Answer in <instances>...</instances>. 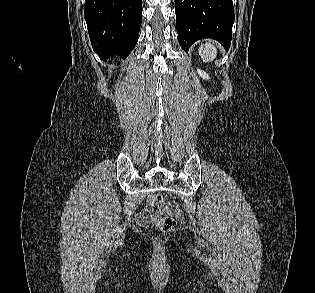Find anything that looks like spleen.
Returning <instances> with one entry per match:
<instances>
[{"mask_svg":"<svg viewBox=\"0 0 315 293\" xmlns=\"http://www.w3.org/2000/svg\"><path fill=\"white\" fill-rule=\"evenodd\" d=\"M198 51L203 62L213 61L217 55L216 47L212 45L210 42H208L205 45L200 46Z\"/></svg>","mask_w":315,"mask_h":293,"instance_id":"spleen-1","label":"spleen"}]
</instances>
